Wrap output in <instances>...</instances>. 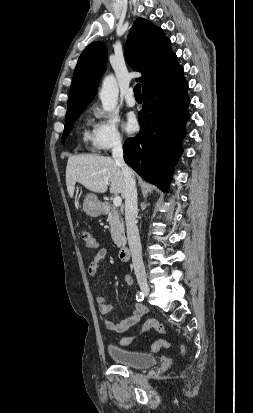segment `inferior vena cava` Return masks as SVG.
I'll return each mask as SVG.
<instances>
[{"mask_svg":"<svg viewBox=\"0 0 253 413\" xmlns=\"http://www.w3.org/2000/svg\"><path fill=\"white\" fill-rule=\"evenodd\" d=\"M112 155L116 163L121 167L125 181V220L134 271L137 276L145 278L141 242L138 227L136 225V217L138 214L137 189L133 171L127 166L123 159V148L120 138L115 139L113 143Z\"/></svg>","mask_w":253,"mask_h":413,"instance_id":"inferior-vena-cava-1","label":"inferior vena cava"}]
</instances>
